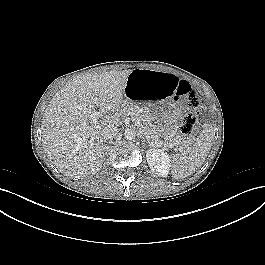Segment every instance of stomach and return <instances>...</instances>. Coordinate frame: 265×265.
Segmentation results:
<instances>
[{
    "label": "stomach",
    "mask_w": 265,
    "mask_h": 265,
    "mask_svg": "<svg viewBox=\"0 0 265 265\" xmlns=\"http://www.w3.org/2000/svg\"><path fill=\"white\" fill-rule=\"evenodd\" d=\"M177 80L171 73L149 69L132 70L127 78L124 95L126 100L139 101L136 119L144 136L152 141H165L174 132L166 101L172 98Z\"/></svg>",
    "instance_id": "stomach-1"
}]
</instances>
